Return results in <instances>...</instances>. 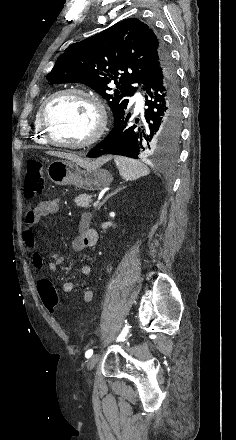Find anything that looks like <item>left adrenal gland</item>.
Returning <instances> with one entry per match:
<instances>
[{"mask_svg": "<svg viewBox=\"0 0 236 440\" xmlns=\"http://www.w3.org/2000/svg\"><path fill=\"white\" fill-rule=\"evenodd\" d=\"M125 187H119L118 189H116V191H114L113 193L109 194L106 196V198L99 204L98 209H100V207L114 194L118 193L120 190L124 189Z\"/></svg>", "mask_w": 236, "mask_h": 440, "instance_id": "1", "label": "left adrenal gland"}]
</instances>
